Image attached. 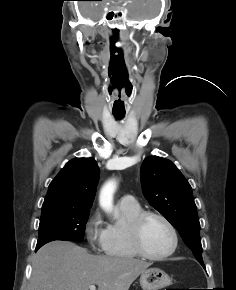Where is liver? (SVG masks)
<instances>
[{
  "label": "liver",
  "mask_w": 236,
  "mask_h": 290,
  "mask_svg": "<svg viewBox=\"0 0 236 290\" xmlns=\"http://www.w3.org/2000/svg\"><path fill=\"white\" fill-rule=\"evenodd\" d=\"M151 263L129 257L92 255L69 241L41 247L32 262L28 290H128Z\"/></svg>",
  "instance_id": "obj_1"
}]
</instances>
